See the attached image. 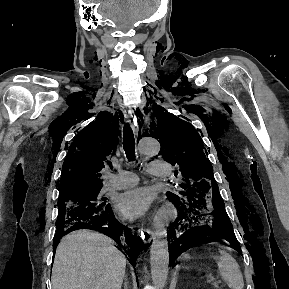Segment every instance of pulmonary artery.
<instances>
[{
    "label": "pulmonary artery",
    "mask_w": 289,
    "mask_h": 289,
    "mask_svg": "<svg viewBox=\"0 0 289 289\" xmlns=\"http://www.w3.org/2000/svg\"><path fill=\"white\" fill-rule=\"evenodd\" d=\"M169 164L164 161H151L149 174L153 177H167L169 175ZM106 186L111 189H124L133 187L138 183V177L130 171H119L117 174H110L107 177Z\"/></svg>",
    "instance_id": "e3ab8cb5"
}]
</instances>
